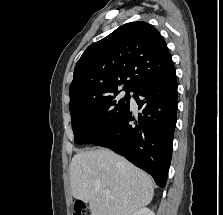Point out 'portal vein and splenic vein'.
<instances>
[{"mask_svg":"<svg viewBox=\"0 0 223 215\" xmlns=\"http://www.w3.org/2000/svg\"><path fill=\"white\" fill-rule=\"evenodd\" d=\"M105 193L107 197H112V199H116V197H113V195H110V189H105Z\"/></svg>","mask_w":223,"mask_h":215,"instance_id":"1","label":"portal vein and splenic vein"}]
</instances>
